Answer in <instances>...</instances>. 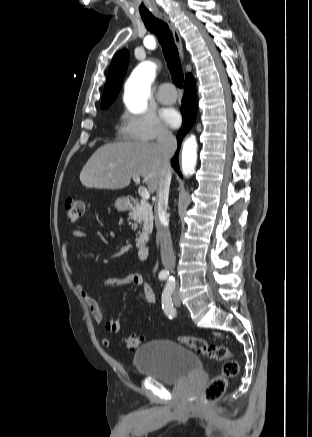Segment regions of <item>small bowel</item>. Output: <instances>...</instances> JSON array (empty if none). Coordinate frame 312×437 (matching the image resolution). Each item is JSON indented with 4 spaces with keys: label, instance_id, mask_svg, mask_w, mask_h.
<instances>
[{
    "label": "small bowel",
    "instance_id": "1",
    "mask_svg": "<svg viewBox=\"0 0 312 437\" xmlns=\"http://www.w3.org/2000/svg\"><path fill=\"white\" fill-rule=\"evenodd\" d=\"M86 235H87L86 232L80 230L73 231L70 238L64 241L62 245V253L64 255L67 254V250L71 245L72 239H78ZM125 285L141 288L145 302L148 304L155 303L156 301L155 293L152 287L145 281L144 276L140 273L129 274L124 277L107 278L103 280L99 286L102 288H113V287H120ZM77 290L83 297L95 322L99 324L102 323L104 321L103 312L96 299L89 294L88 288L83 284H78ZM105 330L111 334L118 333L121 330V317L117 314H112L109 317V319L105 322ZM101 341L102 344L105 346H110L111 344L109 339L105 337L102 338Z\"/></svg>",
    "mask_w": 312,
    "mask_h": 437
}]
</instances>
